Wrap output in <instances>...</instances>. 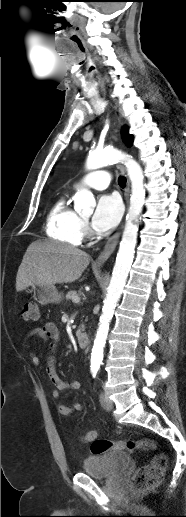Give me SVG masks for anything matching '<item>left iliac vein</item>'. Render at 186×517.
<instances>
[{
  "instance_id": "obj_1",
  "label": "left iliac vein",
  "mask_w": 186,
  "mask_h": 517,
  "mask_svg": "<svg viewBox=\"0 0 186 517\" xmlns=\"http://www.w3.org/2000/svg\"><path fill=\"white\" fill-rule=\"evenodd\" d=\"M100 403H101V406L106 410V411H111L112 408H113V403L112 401L109 399V397L104 393V392H101L100 393Z\"/></svg>"
}]
</instances>
